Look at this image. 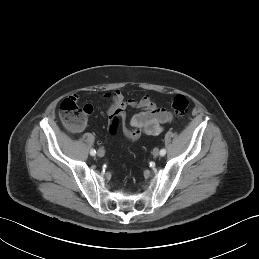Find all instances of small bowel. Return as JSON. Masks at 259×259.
Listing matches in <instances>:
<instances>
[{
  "label": "small bowel",
  "mask_w": 259,
  "mask_h": 259,
  "mask_svg": "<svg viewBox=\"0 0 259 259\" xmlns=\"http://www.w3.org/2000/svg\"><path fill=\"white\" fill-rule=\"evenodd\" d=\"M105 99L110 101L107 114L110 119L114 115L123 116L127 108L140 110L132 116L128 125L124 127V136L129 141L138 140L141 135H158L163 130V125L172 121V114L163 108H158L152 94H146L139 100L127 99L123 93L116 89L105 94ZM86 114L93 113V106L85 104Z\"/></svg>",
  "instance_id": "small-bowel-1"
}]
</instances>
